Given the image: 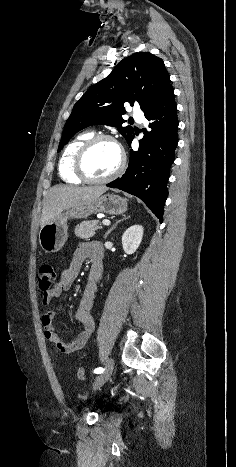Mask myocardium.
Returning a JSON list of instances; mask_svg holds the SVG:
<instances>
[{"label": "myocardium", "instance_id": "myocardium-1", "mask_svg": "<svg viewBox=\"0 0 236 467\" xmlns=\"http://www.w3.org/2000/svg\"><path fill=\"white\" fill-rule=\"evenodd\" d=\"M102 140L110 141L118 148L120 154V161L117 168L111 174L103 178H95L87 172L85 167V161L90 149L97 142ZM125 165L126 156L118 141L113 136L108 134H96L87 139L76 152L74 159V172L80 179H82L85 182L97 184L107 183L117 178L123 172Z\"/></svg>", "mask_w": 236, "mask_h": 467}]
</instances>
